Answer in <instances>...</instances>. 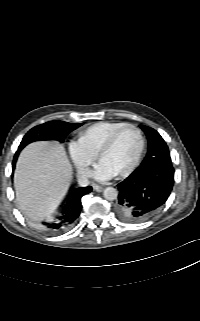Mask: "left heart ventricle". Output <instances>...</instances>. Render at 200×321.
<instances>
[{"label":"left heart ventricle","instance_id":"b2bd125f","mask_svg":"<svg viewBox=\"0 0 200 321\" xmlns=\"http://www.w3.org/2000/svg\"><path fill=\"white\" fill-rule=\"evenodd\" d=\"M139 148V136L136 131H125L116 144L103 154L101 162L115 175L122 173L133 162Z\"/></svg>","mask_w":200,"mask_h":321}]
</instances>
